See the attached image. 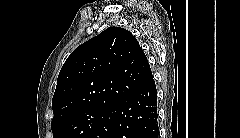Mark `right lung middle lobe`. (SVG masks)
I'll return each mask as SVG.
<instances>
[{"label":"right lung middle lobe","instance_id":"1","mask_svg":"<svg viewBox=\"0 0 240 138\" xmlns=\"http://www.w3.org/2000/svg\"><path fill=\"white\" fill-rule=\"evenodd\" d=\"M107 110L89 108L52 121L53 138H89Z\"/></svg>","mask_w":240,"mask_h":138}]
</instances>
